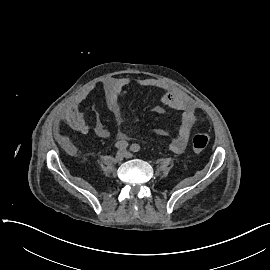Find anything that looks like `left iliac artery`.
<instances>
[{
    "mask_svg": "<svg viewBox=\"0 0 270 270\" xmlns=\"http://www.w3.org/2000/svg\"><path fill=\"white\" fill-rule=\"evenodd\" d=\"M130 150L133 152H138V151H140V146L138 144H132L130 146Z\"/></svg>",
    "mask_w": 270,
    "mask_h": 270,
    "instance_id": "left-iliac-artery-1",
    "label": "left iliac artery"
}]
</instances>
